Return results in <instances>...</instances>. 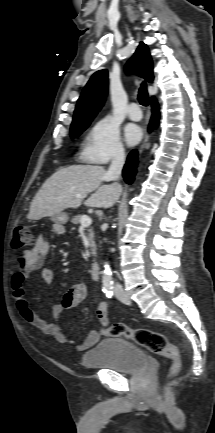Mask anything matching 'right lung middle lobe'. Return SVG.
I'll return each mask as SVG.
<instances>
[{"label": "right lung middle lobe", "instance_id": "right-lung-middle-lobe-1", "mask_svg": "<svg viewBox=\"0 0 215 433\" xmlns=\"http://www.w3.org/2000/svg\"><path fill=\"white\" fill-rule=\"evenodd\" d=\"M92 120L80 122V123H72L70 128V135L72 138L78 136L81 132H83L91 123Z\"/></svg>", "mask_w": 215, "mask_h": 433}]
</instances>
